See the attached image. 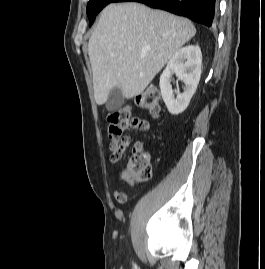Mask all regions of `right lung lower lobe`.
I'll use <instances>...</instances> for the list:
<instances>
[{"label": "right lung lower lobe", "mask_w": 265, "mask_h": 269, "mask_svg": "<svg viewBox=\"0 0 265 269\" xmlns=\"http://www.w3.org/2000/svg\"><path fill=\"white\" fill-rule=\"evenodd\" d=\"M128 1L185 16L208 27L213 23L217 8L216 0H114L113 2Z\"/></svg>", "instance_id": "1"}]
</instances>
